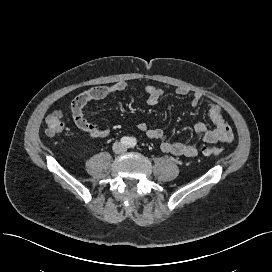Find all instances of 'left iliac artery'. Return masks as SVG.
Masks as SVG:
<instances>
[{
	"instance_id": "left-iliac-artery-1",
	"label": "left iliac artery",
	"mask_w": 272,
	"mask_h": 272,
	"mask_svg": "<svg viewBox=\"0 0 272 272\" xmlns=\"http://www.w3.org/2000/svg\"><path fill=\"white\" fill-rule=\"evenodd\" d=\"M137 144V141L135 138H131L130 141H129V145L130 147H135Z\"/></svg>"
}]
</instances>
